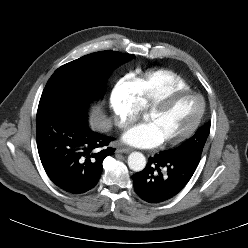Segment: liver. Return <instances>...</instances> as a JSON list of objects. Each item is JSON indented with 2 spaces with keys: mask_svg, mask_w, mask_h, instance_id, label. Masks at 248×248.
<instances>
[{
  "mask_svg": "<svg viewBox=\"0 0 248 248\" xmlns=\"http://www.w3.org/2000/svg\"><path fill=\"white\" fill-rule=\"evenodd\" d=\"M90 124L93 130H106L110 127V122L105 118L99 108L93 111L90 117Z\"/></svg>",
  "mask_w": 248,
  "mask_h": 248,
  "instance_id": "obj_1",
  "label": "liver"
}]
</instances>
